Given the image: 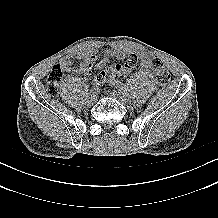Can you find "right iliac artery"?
Listing matches in <instances>:
<instances>
[{"label":"right iliac artery","instance_id":"right-iliac-artery-1","mask_svg":"<svg viewBox=\"0 0 218 218\" xmlns=\"http://www.w3.org/2000/svg\"><path fill=\"white\" fill-rule=\"evenodd\" d=\"M98 89H99L98 86L94 85L91 89V93L96 94L98 92Z\"/></svg>","mask_w":218,"mask_h":218}]
</instances>
